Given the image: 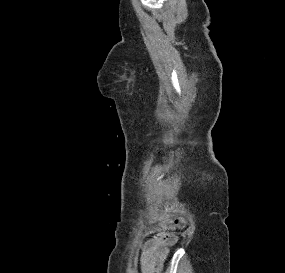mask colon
Segmentation results:
<instances>
[{
	"mask_svg": "<svg viewBox=\"0 0 285 273\" xmlns=\"http://www.w3.org/2000/svg\"><path fill=\"white\" fill-rule=\"evenodd\" d=\"M173 225H174L175 227L181 228V227H183V226L185 225V221H184L183 218H176V219L174 220V222H173Z\"/></svg>",
	"mask_w": 285,
	"mask_h": 273,
	"instance_id": "5ec220e1",
	"label": "colon"
}]
</instances>
